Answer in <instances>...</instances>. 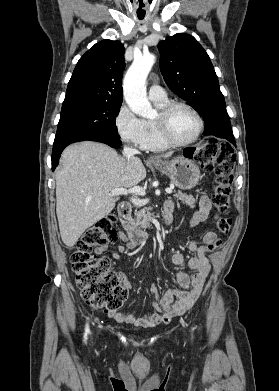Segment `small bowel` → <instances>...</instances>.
I'll list each match as a JSON object with an SVG mask.
<instances>
[{"label":"small bowel","instance_id":"c3829d8e","mask_svg":"<svg viewBox=\"0 0 279 391\" xmlns=\"http://www.w3.org/2000/svg\"><path fill=\"white\" fill-rule=\"evenodd\" d=\"M165 205H170L174 208L172 202H166ZM211 210L210 199L203 195L199 199V209L191 219L192 226L203 222L208 217ZM119 238L126 246L119 245L116 251L112 252V257L116 260H121L126 254V248H133V244L128 235L121 233ZM217 238L213 231H209L204 236L205 245H198L196 242L189 244V250L195 256L186 261L184 254L178 252L173 255V264L177 267H183L187 264L188 268L193 272L190 276L183 271L177 273V282L180 289H169L162 296L159 295L158 288L155 283L150 285V293L153 296L152 306L156 309L155 312L137 316L133 313H125L118 311H108V316L119 323L132 324L137 327H152L161 323H169L177 316L182 315L190 309L197 301L202 293L204 284L209 275L210 264L206 256L208 252L207 245ZM108 246L103 245L96 249V252L103 254L107 252ZM125 290H129L131 285L124 275H120Z\"/></svg>","mask_w":279,"mask_h":391}]
</instances>
